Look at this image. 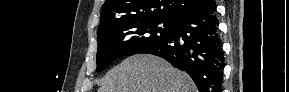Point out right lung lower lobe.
Returning <instances> with one entry per match:
<instances>
[{"label":"right lung lower lobe","mask_w":289,"mask_h":92,"mask_svg":"<svg viewBox=\"0 0 289 92\" xmlns=\"http://www.w3.org/2000/svg\"><path fill=\"white\" fill-rule=\"evenodd\" d=\"M172 32L164 40L139 53L153 54L187 72L199 92H220L224 57L218 30L216 4L172 21Z\"/></svg>","instance_id":"1"}]
</instances>
